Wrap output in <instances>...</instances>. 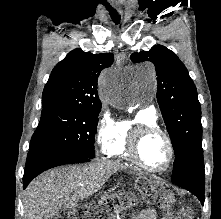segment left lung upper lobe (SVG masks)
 Wrapping results in <instances>:
<instances>
[{
  "label": "left lung upper lobe",
  "mask_w": 221,
  "mask_h": 219,
  "mask_svg": "<svg viewBox=\"0 0 221 219\" xmlns=\"http://www.w3.org/2000/svg\"><path fill=\"white\" fill-rule=\"evenodd\" d=\"M130 58L155 65L157 100L175 152L172 181L204 177L201 107L186 67L162 45L133 53Z\"/></svg>",
  "instance_id": "obj_1"
}]
</instances>
